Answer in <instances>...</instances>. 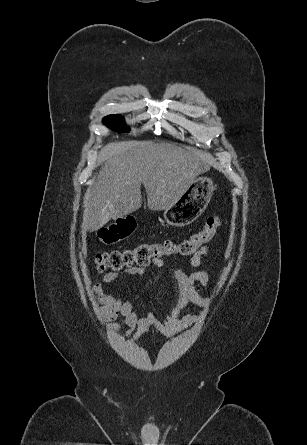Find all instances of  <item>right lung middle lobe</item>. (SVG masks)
<instances>
[{
	"instance_id": "right-lung-middle-lobe-1",
	"label": "right lung middle lobe",
	"mask_w": 307,
	"mask_h": 445,
	"mask_svg": "<svg viewBox=\"0 0 307 445\" xmlns=\"http://www.w3.org/2000/svg\"><path fill=\"white\" fill-rule=\"evenodd\" d=\"M107 127L118 131L128 132L129 129L124 126V118L121 115H109L103 118L102 121Z\"/></svg>"
}]
</instances>
